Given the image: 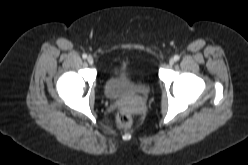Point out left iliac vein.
<instances>
[{
  "label": "left iliac vein",
  "instance_id": "obj_1",
  "mask_svg": "<svg viewBox=\"0 0 248 165\" xmlns=\"http://www.w3.org/2000/svg\"><path fill=\"white\" fill-rule=\"evenodd\" d=\"M175 63V59L174 58H171L170 60H169V64L170 65H173Z\"/></svg>",
  "mask_w": 248,
  "mask_h": 165
}]
</instances>
